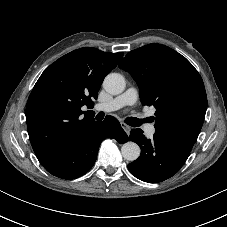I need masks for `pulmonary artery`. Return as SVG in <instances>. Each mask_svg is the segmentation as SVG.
Masks as SVG:
<instances>
[{
	"label": "pulmonary artery",
	"instance_id": "1",
	"mask_svg": "<svg viewBox=\"0 0 227 227\" xmlns=\"http://www.w3.org/2000/svg\"><path fill=\"white\" fill-rule=\"evenodd\" d=\"M138 100V92L135 88L130 87L124 93L117 96L113 100L107 103H101L96 106V109L104 112H111L121 109L125 106L134 105ZM145 133L148 136H152L155 133V127L152 124L145 126Z\"/></svg>",
	"mask_w": 227,
	"mask_h": 227
}]
</instances>
